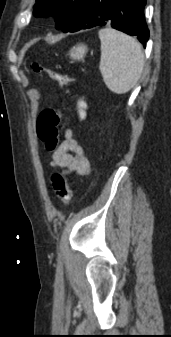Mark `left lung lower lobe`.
Wrapping results in <instances>:
<instances>
[{
	"label": "left lung lower lobe",
	"instance_id": "1",
	"mask_svg": "<svg viewBox=\"0 0 171 337\" xmlns=\"http://www.w3.org/2000/svg\"><path fill=\"white\" fill-rule=\"evenodd\" d=\"M145 4L146 0H85L76 23L68 32L111 25L137 36L145 47L149 39L144 17Z\"/></svg>",
	"mask_w": 171,
	"mask_h": 337
}]
</instances>
